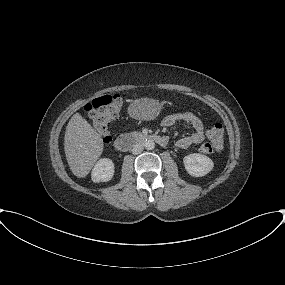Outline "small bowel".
<instances>
[{
	"label": "small bowel",
	"mask_w": 285,
	"mask_h": 285,
	"mask_svg": "<svg viewBox=\"0 0 285 285\" xmlns=\"http://www.w3.org/2000/svg\"><path fill=\"white\" fill-rule=\"evenodd\" d=\"M178 122H183L193 129L191 134L184 135L176 141L178 148L186 149L192 145L199 144L208 136V131H206L203 122L191 112H177L168 115L163 119L162 124L164 126H172Z\"/></svg>",
	"instance_id": "c3829d8e"
}]
</instances>
